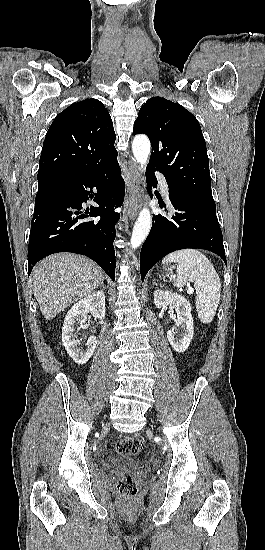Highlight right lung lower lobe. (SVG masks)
I'll use <instances>...</instances> for the list:
<instances>
[{"label":"right lung lower lobe","mask_w":265,"mask_h":550,"mask_svg":"<svg viewBox=\"0 0 265 550\" xmlns=\"http://www.w3.org/2000/svg\"><path fill=\"white\" fill-rule=\"evenodd\" d=\"M92 188L97 189L93 195ZM125 183L117 162L96 173L66 180L35 200L28 249V276L33 266L56 252L85 255L115 280V223L113 211L124 200ZM89 198L99 207L84 209ZM100 216V220L91 217Z\"/></svg>","instance_id":"98d812e1"}]
</instances>
